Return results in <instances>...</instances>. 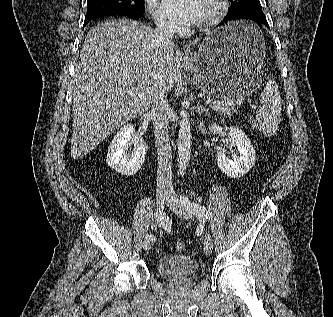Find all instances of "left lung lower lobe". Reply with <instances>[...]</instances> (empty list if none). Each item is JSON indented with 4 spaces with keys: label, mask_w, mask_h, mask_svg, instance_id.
<instances>
[{
    "label": "left lung lower lobe",
    "mask_w": 333,
    "mask_h": 317,
    "mask_svg": "<svg viewBox=\"0 0 333 317\" xmlns=\"http://www.w3.org/2000/svg\"><path fill=\"white\" fill-rule=\"evenodd\" d=\"M240 19H251L254 21H259L261 23H263L266 27L269 28V25L267 23L266 17L263 14L262 9H257V10H246V11H242L239 13H235V14H229L222 22L226 23L228 21H233V20H240ZM220 24V25H221Z\"/></svg>",
    "instance_id": "1"
}]
</instances>
